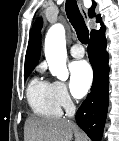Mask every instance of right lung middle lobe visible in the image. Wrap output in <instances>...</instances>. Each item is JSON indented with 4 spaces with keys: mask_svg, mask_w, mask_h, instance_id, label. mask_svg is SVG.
I'll return each instance as SVG.
<instances>
[{
    "mask_svg": "<svg viewBox=\"0 0 119 141\" xmlns=\"http://www.w3.org/2000/svg\"><path fill=\"white\" fill-rule=\"evenodd\" d=\"M31 71L24 72V77L27 78L30 75Z\"/></svg>",
    "mask_w": 119,
    "mask_h": 141,
    "instance_id": "obj_1",
    "label": "right lung middle lobe"
}]
</instances>
